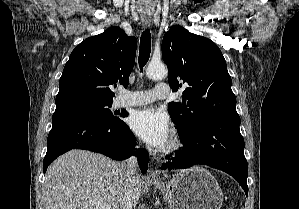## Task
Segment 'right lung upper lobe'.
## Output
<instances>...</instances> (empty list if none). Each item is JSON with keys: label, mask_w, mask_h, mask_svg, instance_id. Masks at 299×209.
<instances>
[{"label": "right lung upper lobe", "mask_w": 299, "mask_h": 209, "mask_svg": "<svg viewBox=\"0 0 299 209\" xmlns=\"http://www.w3.org/2000/svg\"><path fill=\"white\" fill-rule=\"evenodd\" d=\"M137 40L119 27L89 37L71 53L59 81L56 105L71 102H112L111 87L128 86Z\"/></svg>", "instance_id": "cb5924a9"}]
</instances>
